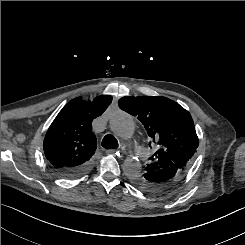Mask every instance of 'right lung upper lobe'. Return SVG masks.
I'll use <instances>...</instances> for the list:
<instances>
[{"label":"right lung upper lobe","mask_w":245,"mask_h":245,"mask_svg":"<svg viewBox=\"0 0 245 245\" xmlns=\"http://www.w3.org/2000/svg\"><path fill=\"white\" fill-rule=\"evenodd\" d=\"M111 102L110 95H101L87 102L78 97L63 107L49 127L43 143L51 168H76L92 160L97 139L91 123Z\"/></svg>","instance_id":"right-lung-upper-lobe-1"}]
</instances>
